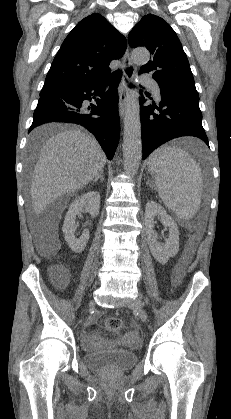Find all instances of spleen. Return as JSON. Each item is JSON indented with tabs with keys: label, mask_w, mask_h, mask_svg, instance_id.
Instances as JSON below:
<instances>
[{
	"label": "spleen",
	"mask_w": 231,
	"mask_h": 419,
	"mask_svg": "<svg viewBox=\"0 0 231 419\" xmlns=\"http://www.w3.org/2000/svg\"><path fill=\"white\" fill-rule=\"evenodd\" d=\"M148 164L165 206L182 220L193 218L203 190L197 162L181 148L162 146L150 155Z\"/></svg>",
	"instance_id": "3e777b00"
}]
</instances>
